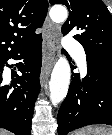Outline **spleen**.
<instances>
[{
    "label": "spleen",
    "mask_w": 112,
    "mask_h": 135,
    "mask_svg": "<svg viewBox=\"0 0 112 135\" xmlns=\"http://www.w3.org/2000/svg\"><path fill=\"white\" fill-rule=\"evenodd\" d=\"M93 135H112V129H106L103 126H97L95 127V129L93 130ZM73 135H91V133L86 132L84 130L81 131H77L75 133H73Z\"/></svg>",
    "instance_id": "1"
}]
</instances>
